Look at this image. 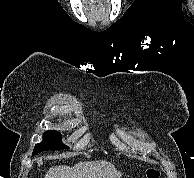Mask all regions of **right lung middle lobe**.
Instances as JSON below:
<instances>
[{"instance_id": "1", "label": "right lung middle lobe", "mask_w": 194, "mask_h": 178, "mask_svg": "<svg viewBox=\"0 0 194 178\" xmlns=\"http://www.w3.org/2000/svg\"><path fill=\"white\" fill-rule=\"evenodd\" d=\"M61 134L55 130L46 131L43 134V141L37 144L33 150V155L38 152L47 151V150H61L68 148L61 141Z\"/></svg>"}]
</instances>
